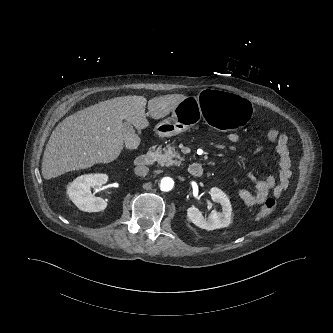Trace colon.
<instances>
[{
	"instance_id": "obj_1",
	"label": "colon",
	"mask_w": 333,
	"mask_h": 333,
	"mask_svg": "<svg viewBox=\"0 0 333 333\" xmlns=\"http://www.w3.org/2000/svg\"><path fill=\"white\" fill-rule=\"evenodd\" d=\"M281 134L282 133L276 129H270L267 133V138L271 142H276L279 140ZM275 207H276V201L271 197L267 198L260 210L259 216L260 217L268 216L274 211Z\"/></svg>"
}]
</instances>
